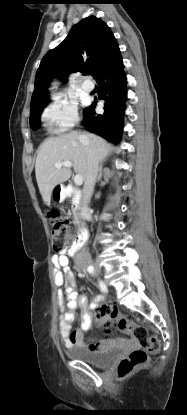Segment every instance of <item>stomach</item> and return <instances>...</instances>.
<instances>
[{
  "label": "stomach",
  "mask_w": 187,
  "mask_h": 415,
  "mask_svg": "<svg viewBox=\"0 0 187 415\" xmlns=\"http://www.w3.org/2000/svg\"><path fill=\"white\" fill-rule=\"evenodd\" d=\"M52 195L56 200H61L64 195V187L62 185L55 186Z\"/></svg>",
  "instance_id": "0dacf381"
}]
</instances>
